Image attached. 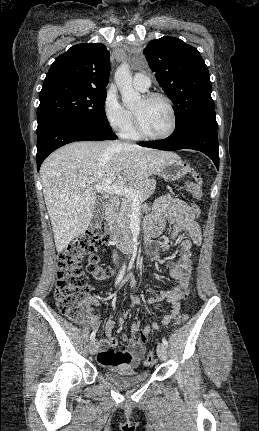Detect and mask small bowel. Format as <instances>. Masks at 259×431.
I'll return each mask as SVG.
<instances>
[{"label": "small bowel", "instance_id": "small-bowel-1", "mask_svg": "<svg viewBox=\"0 0 259 431\" xmlns=\"http://www.w3.org/2000/svg\"><path fill=\"white\" fill-rule=\"evenodd\" d=\"M167 222L174 225L170 235L171 241H175L181 232L187 233L189 238L180 242L177 262L168 263L169 275L176 284L166 290L159 291L156 296L148 300L149 305L162 301L169 304L170 313L164 317L161 325H168L176 319L180 313V302L190 294L193 268L191 248L193 245H200L202 241L201 227L197 220L191 217L188 204L169 195L160 197L146 215L143 222L145 241L157 237ZM89 302L94 305L99 304L95 299H90ZM112 317L113 313L105 323L106 339L98 344L97 361L100 365L109 368L128 367L131 364H138L145 352L146 340L143 337H147L152 330L158 329L160 324L154 323L150 326L141 327L140 320L136 319L131 327L132 336H123V341L127 343L128 348L124 351H115L113 347L116 346L117 340L114 337L115 323ZM90 322L96 325L93 319ZM137 334H140L139 338H136Z\"/></svg>", "mask_w": 259, "mask_h": 431}]
</instances>
